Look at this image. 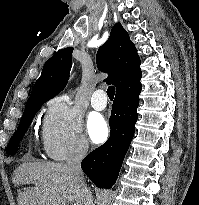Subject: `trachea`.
I'll return each mask as SVG.
<instances>
[{
  "mask_svg": "<svg viewBox=\"0 0 199 205\" xmlns=\"http://www.w3.org/2000/svg\"><path fill=\"white\" fill-rule=\"evenodd\" d=\"M107 95H108L110 100H112L114 98V95H115V87L114 86H109L108 87Z\"/></svg>",
  "mask_w": 199,
  "mask_h": 205,
  "instance_id": "trachea-1",
  "label": "trachea"
}]
</instances>
